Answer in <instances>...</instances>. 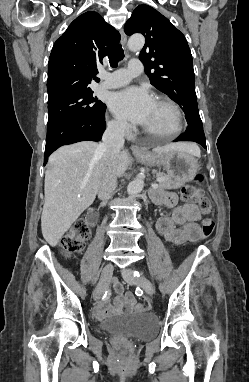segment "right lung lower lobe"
Wrapping results in <instances>:
<instances>
[{
    "label": "right lung lower lobe",
    "mask_w": 249,
    "mask_h": 382,
    "mask_svg": "<svg viewBox=\"0 0 249 382\" xmlns=\"http://www.w3.org/2000/svg\"><path fill=\"white\" fill-rule=\"evenodd\" d=\"M106 109V108H105ZM105 109L95 119L79 118L48 127L44 165L48 157L60 146L79 141H99L105 131Z\"/></svg>",
    "instance_id": "obj_1"
}]
</instances>
